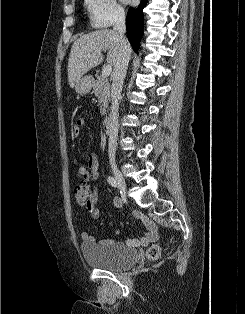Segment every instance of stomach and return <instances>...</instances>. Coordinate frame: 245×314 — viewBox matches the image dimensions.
<instances>
[{
    "instance_id": "1",
    "label": "stomach",
    "mask_w": 245,
    "mask_h": 314,
    "mask_svg": "<svg viewBox=\"0 0 245 314\" xmlns=\"http://www.w3.org/2000/svg\"><path fill=\"white\" fill-rule=\"evenodd\" d=\"M92 79L90 76L81 77L75 85V91L79 95H86L92 89Z\"/></svg>"
}]
</instances>
